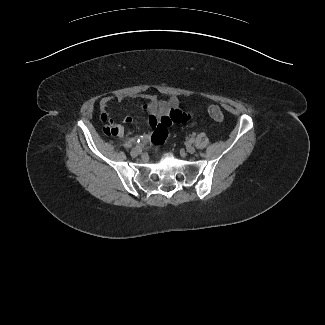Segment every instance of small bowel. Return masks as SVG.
Returning a JSON list of instances; mask_svg holds the SVG:
<instances>
[{"mask_svg":"<svg viewBox=\"0 0 325 325\" xmlns=\"http://www.w3.org/2000/svg\"><path fill=\"white\" fill-rule=\"evenodd\" d=\"M128 98L126 95H117L116 100L123 102ZM145 102L141 107L147 112L146 127L149 132L144 136L155 144L163 143L168 136V128L172 124L185 123L190 119V114L177 110L179 100L176 97L168 99H158L152 95H145ZM112 96H105L100 101L101 121L107 125L104 127L106 134L122 136L124 133L123 125L131 124V116H125L121 119H112L109 113V105L112 103Z\"/></svg>","mask_w":325,"mask_h":325,"instance_id":"obj_1","label":"small bowel"}]
</instances>
